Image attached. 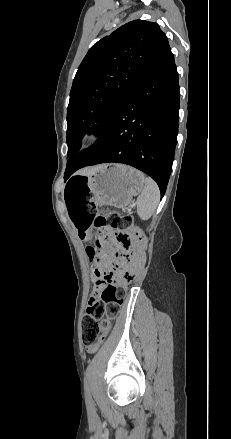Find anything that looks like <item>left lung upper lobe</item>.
I'll use <instances>...</instances> for the list:
<instances>
[{
  "label": "left lung upper lobe",
  "mask_w": 231,
  "mask_h": 439,
  "mask_svg": "<svg viewBox=\"0 0 231 439\" xmlns=\"http://www.w3.org/2000/svg\"><path fill=\"white\" fill-rule=\"evenodd\" d=\"M170 51L159 25L144 20L126 23L90 48L70 92L66 139L70 159L80 150L82 137L99 135L131 89Z\"/></svg>",
  "instance_id": "obj_1"
}]
</instances>
